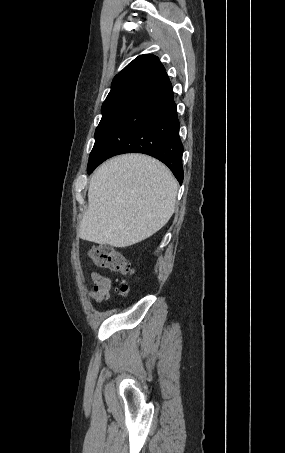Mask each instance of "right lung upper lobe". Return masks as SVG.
Instances as JSON below:
<instances>
[{"instance_id":"obj_1","label":"right lung upper lobe","mask_w":285,"mask_h":453,"mask_svg":"<svg viewBox=\"0 0 285 453\" xmlns=\"http://www.w3.org/2000/svg\"><path fill=\"white\" fill-rule=\"evenodd\" d=\"M164 72L165 68L157 56L140 55L114 77L111 91L104 102L119 97H130L148 81Z\"/></svg>"}]
</instances>
